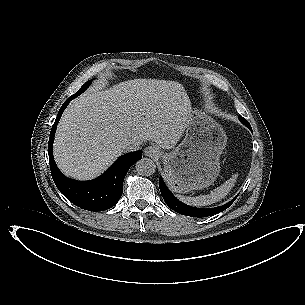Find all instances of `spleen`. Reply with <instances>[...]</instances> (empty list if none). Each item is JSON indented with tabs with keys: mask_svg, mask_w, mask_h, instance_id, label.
<instances>
[{
	"mask_svg": "<svg viewBox=\"0 0 305 305\" xmlns=\"http://www.w3.org/2000/svg\"><path fill=\"white\" fill-rule=\"evenodd\" d=\"M233 182H234V178L232 177L228 179L226 182H224L221 186L215 188L208 195H200L196 197L176 195V197L183 203L194 207H203V206L211 205L215 202L220 201L228 194V192L230 191L233 185Z\"/></svg>",
	"mask_w": 305,
	"mask_h": 305,
	"instance_id": "3e777b00",
	"label": "spleen"
}]
</instances>
